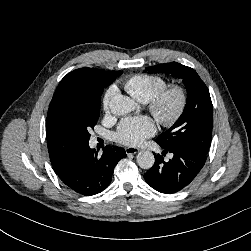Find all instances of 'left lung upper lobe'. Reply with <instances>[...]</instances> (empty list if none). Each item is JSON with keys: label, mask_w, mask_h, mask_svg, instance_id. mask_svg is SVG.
Segmentation results:
<instances>
[{"label": "left lung upper lobe", "mask_w": 251, "mask_h": 251, "mask_svg": "<svg viewBox=\"0 0 251 251\" xmlns=\"http://www.w3.org/2000/svg\"><path fill=\"white\" fill-rule=\"evenodd\" d=\"M152 73L167 72L182 78L187 89V102L175 124L160 134L156 142L164 148L192 146L207 154L213 126V106L209 90L196 71L177 62L147 67Z\"/></svg>", "instance_id": "1"}]
</instances>
